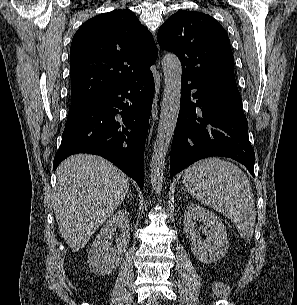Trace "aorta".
Returning <instances> with one entry per match:
<instances>
[{
    "label": "aorta",
    "mask_w": 297,
    "mask_h": 305,
    "mask_svg": "<svg viewBox=\"0 0 297 305\" xmlns=\"http://www.w3.org/2000/svg\"><path fill=\"white\" fill-rule=\"evenodd\" d=\"M164 92L157 137L151 157V184L160 190L163 183V168L172 140L180 110L182 67L179 58L167 53L162 60Z\"/></svg>",
    "instance_id": "762f6f07"
}]
</instances>
